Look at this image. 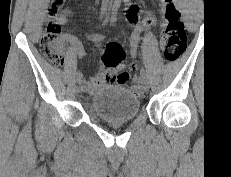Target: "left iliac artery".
<instances>
[{
    "label": "left iliac artery",
    "mask_w": 231,
    "mask_h": 177,
    "mask_svg": "<svg viewBox=\"0 0 231 177\" xmlns=\"http://www.w3.org/2000/svg\"><path fill=\"white\" fill-rule=\"evenodd\" d=\"M141 75L143 76V77H146V76H148V74H147V72H146V70L145 69H141Z\"/></svg>",
    "instance_id": "obj_1"
}]
</instances>
